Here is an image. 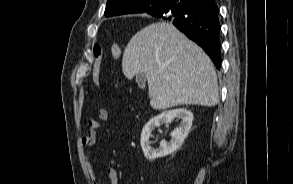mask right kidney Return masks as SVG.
I'll list each match as a JSON object with an SVG mask.
<instances>
[{"mask_svg":"<svg viewBox=\"0 0 293 184\" xmlns=\"http://www.w3.org/2000/svg\"><path fill=\"white\" fill-rule=\"evenodd\" d=\"M181 119L179 127L175 128L171 133L170 142L162 141L160 143L159 149L151 148L150 136L151 132L162 124L170 123L173 119ZM193 121V114L187 109H174L169 111H164L161 114L153 117L144 126L141 133V147L145 157L148 160H154L157 158L165 157L169 154L177 151L183 144L185 138L187 137Z\"/></svg>","mask_w":293,"mask_h":184,"instance_id":"right-kidney-1","label":"right kidney"}]
</instances>
